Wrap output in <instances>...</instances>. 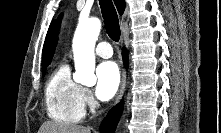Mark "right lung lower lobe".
I'll return each instance as SVG.
<instances>
[{
	"label": "right lung lower lobe",
	"instance_id": "98d812e1",
	"mask_svg": "<svg viewBox=\"0 0 221 133\" xmlns=\"http://www.w3.org/2000/svg\"><path fill=\"white\" fill-rule=\"evenodd\" d=\"M125 64L127 65L128 59L126 56V51L123 49L122 52ZM123 110V101L120 102L117 106H115L107 115V117L103 120V122L100 125V132L101 133H114L117 124L119 122L121 113Z\"/></svg>",
	"mask_w": 221,
	"mask_h": 133
}]
</instances>
